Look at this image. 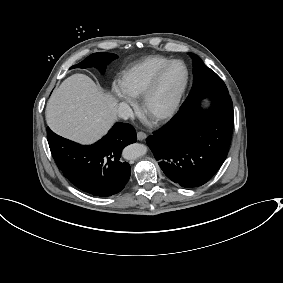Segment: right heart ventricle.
<instances>
[{
    "label": "right heart ventricle",
    "instance_id": "e07e8e85",
    "mask_svg": "<svg viewBox=\"0 0 283 283\" xmlns=\"http://www.w3.org/2000/svg\"><path fill=\"white\" fill-rule=\"evenodd\" d=\"M172 59L166 56H149L121 73L120 83L127 95L136 100L142 97L155 72Z\"/></svg>",
    "mask_w": 283,
    "mask_h": 283
}]
</instances>
